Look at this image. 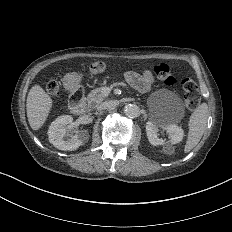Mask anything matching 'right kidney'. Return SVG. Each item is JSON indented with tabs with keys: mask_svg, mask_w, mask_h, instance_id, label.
Listing matches in <instances>:
<instances>
[{
	"mask_svg": "<svg viewBox=\"0 0 232 232\" xmlns=\"http://www.w3.org/2000/svg\"><path fill=\"white\" fill-rule=\"evenodd\" d=\"M73 118L69 115L58 117L48 130L49 141L59 150L74 151L81 147L88 138L87 131L80 130L75 135L70 133Z\"/></svg>",
	"mask_w": 232,
	"mask_h": 232,
	"instance_id": "right-kidney-1",
	"label": "right kidney"
}]
</instances>
